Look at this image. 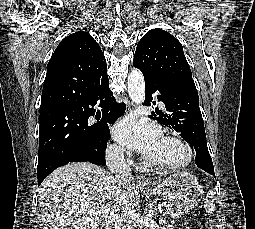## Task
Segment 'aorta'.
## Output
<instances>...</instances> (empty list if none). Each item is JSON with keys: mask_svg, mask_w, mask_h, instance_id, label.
<instances>
[{"mask_svg": "<svg viewBox=\"0 0 255 229\" xmlns=\"http://www.w3.org/2000/svg\"><path fill=\"white\" fill-rule=\"evenodd\" d=\"M128 93L130 99L141 104L145 98V82L142 72L139 69H133L127 78Z\"/></svg>", "mask_w": 255, "mask_h": 229, "instance_id": "762f6f07", "label": "aorta"}]
</instances>
